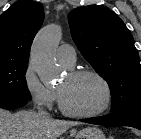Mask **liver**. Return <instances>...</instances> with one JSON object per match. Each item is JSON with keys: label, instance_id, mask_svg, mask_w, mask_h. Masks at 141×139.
<instances>
[{"label": "liver", "instance_id": "liver-1", "mask_svg": "<svg viewBox=\"0 0 141 139\" xmlns=\"http://www.w3.org/2000/svg\"><path fill=\"white\" fill-rule=\"evenodd\" d=\"M78 122L43 118L34 111L0 109V139H57Z\"/></svg>", "mask_w": 141, "mask_h": 139}]
</instances>
